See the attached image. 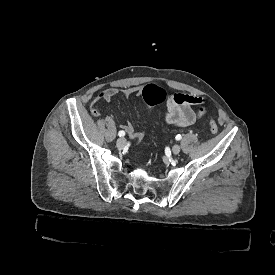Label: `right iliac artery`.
Segmentation results:
<instances>
[{"mask_svg":"<svg viewBox=\"0 0 275 275\" xmlns=\"http://www.w3.org/2000/svg\"><path fill=\"white\" fill-rule=\"evenodd\" d=\"M118 135H119L120 137H124V136H125V132H124V131H119Z\"/></svg>","mask_w":275,"mask_h":275,"instance_id":"obj_1","label":"right iliac artery"}]
</instances>
